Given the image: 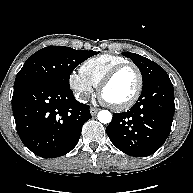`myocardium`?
<instances>
[{"instance_id":"myocardium-1","label":"myocardium","mask_w":193,"mask_h":193,"mask_svg":"<svg viewBox=\"0 0 193 193\" xmlns=\"http://www.w3.org/2000/svg\"><path fill=\"white\" fill-rule=\"evenodd\" d=\"M131 67L133 68L136 73H137V77H138V83H137V88L135 90V92L133 93V95L125 102L121 103V104H110L108 102L107 105L112 108L115 111H123L126 109L131 108L139 99L142 90H143V85H144V79H143V74L140 70V68L134 64L133 62H125L122 64L117 65L116 67H114L113 69H111L100 81V83L98 84V93L100 95V97L102 98V92L104 90V88L114 79V77L122 70H124L125 68Z\"/></svg>"}]
</instances>
